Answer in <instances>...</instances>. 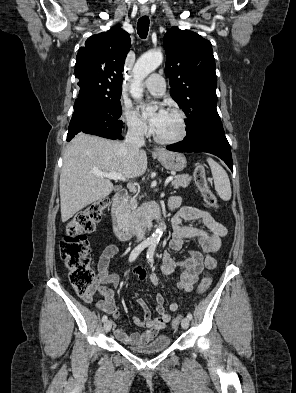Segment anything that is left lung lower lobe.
I'll return each mask as SVG.
<instances>
[{
	"mask_svg": "<svg viewBox=\"0 0 296 393\" xmlns=\"http://www.w3.org/2000/svg\"><path fill=\"white\" fill-rule=\"evenodd\" d=\"M176 152H207L221 158L233 171L230 145L220 120L208 121L188 133L183 141L166 147Z\"/></svg>",
	"mask_w": 296,
	"mask_h": 393,
	"instance_id": "0a47b994",
	"label": "left lung lower lobe"
}]
</instances>
